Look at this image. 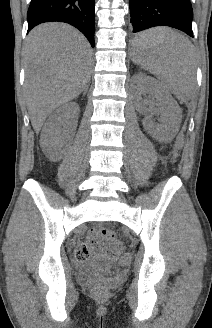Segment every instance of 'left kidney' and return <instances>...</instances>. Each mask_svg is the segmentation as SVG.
<instances>
[{
    "mask_svg": "<svg viewBox=\"0 0 212 328\" xmlns=\"http://www.w3.org/2000/svg\"><path fill=\"white\" fill-rule=\"evenodd\" d=\"M136 82L138 85L136 109L141 113L145 112V101L142 99V95L149 94L156 99V105L161 113L162 120L160 124H156L146 118L143 121L144 127L158 141H170L179 129L181 121L180 107L170 93L152 77L138 74Z\"/></svg>",
    "mask_w": 212,
    "mask_h": 328,
    "instance_id": "left-kidney-1",
    "label": "left kidney"
}]
</instances>
